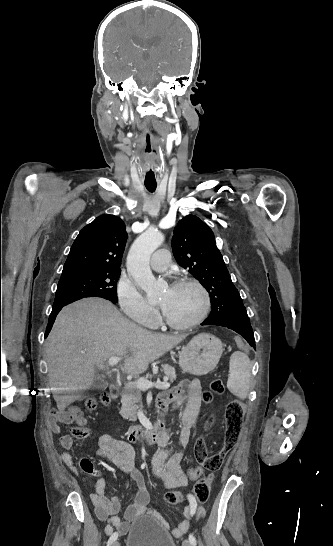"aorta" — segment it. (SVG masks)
Instances as JSON below:
<instances>
[{
    "label": "aorta",
    "instance_id": "aorta-1",
    "mask_svg": "<svg viewBox=\"0 0 333 546\" xmlns=\"http://www.w3.org/2000/svg\"><path fill=\"white\" fill-rule=\"evenodd\" d=\"M164 236L154 228L142 233L132 244L127 256V271L149 300L158 295L157 282L150 269L151 254L162 244Z\"/></svg>",
    "mask_w": 333,
    "mask_h": 546
}]
</instances>
